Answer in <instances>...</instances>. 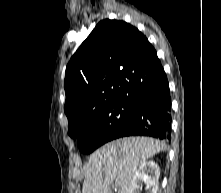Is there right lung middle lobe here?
I'll list each match as a JSON object with an SVG mask.
<instances>
[{
    "mask_svg": "<svg viewBox=\"0 0 221 193\" xmlns=\"http://www.w3.org/2000/svg\"><path fill=\"white\" fill-rule=\"evenodd\" d=\"M137 110V99H124L78 120L68 131L69 136L78 139L83 153H90L102 144L112 140L128 124Z\"/></svg>",
    "mask_w": 221,
    "mask_h": 193,
    "instance_id": "obj_1",
    "label": "right lung middle lobe"
}]
</instances>
